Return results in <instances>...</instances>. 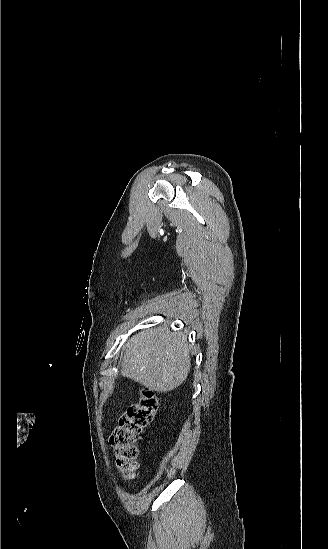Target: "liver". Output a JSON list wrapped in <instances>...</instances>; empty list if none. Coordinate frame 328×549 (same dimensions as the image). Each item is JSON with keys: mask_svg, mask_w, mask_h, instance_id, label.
Segmentation results:
<instances>
[{"mask_svg": "<svg viewBox=\"0 0 328 549\" xmlns=\"http://www.w3.org/2000/svg\"><path fill=\"white\" fill-rule=\"evenodd\" d=\"M120 373L150 391L167 393L186 381L191 359L184 333H170L169 325L148 329L125 345Z\"/></svg>", "mask_w": 328, "mask_h": 549, "instance_id": "liver-1", "label": "liver"}]
</instances>
